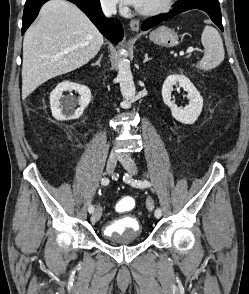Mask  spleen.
I'll use <instances>...</instances> for the list:
<instances>
[{"mask_svg": "<svg viewBox=\"0 0 249 294\" xmlns=\"http://www.w3.org/2000/svg\"><path fill=\"white\" fill-rule=\"evenodd\" d=\"M201 42L205 52L196 67L207 71L219 66L224 60L225 52L218 31L214 27L206 25L201 35Z\"/></svg>", "mask_w": 249, "mask_h": 294, "instance_id": "3e777b00", "label": "spleen"}]
</instances>
